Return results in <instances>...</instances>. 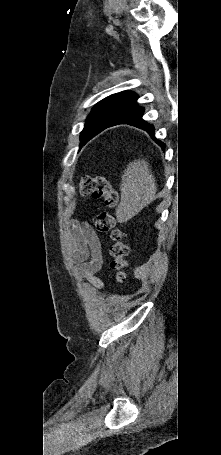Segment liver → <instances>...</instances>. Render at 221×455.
Listing matches in <instances>:
<instances>
[{"label": "liver", "mask_w": 221, "mask_h": 455, "mask_svg": "<svg viewBox=\"0 0 221 455\" xmlns=\"http://www.w3.org/2000/svg\"><path fill=\"white\" fill-rule=\"evenodd\" d=\"M121 200L116 209L119 223L127 222L137 215L156 197L155 178L144 159L130 162L121 176Z\"/></svg>", "instance_id": "obj_1"}]
</instances>
